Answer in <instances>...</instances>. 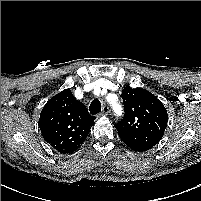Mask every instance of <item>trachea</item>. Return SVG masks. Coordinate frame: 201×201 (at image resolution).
I'll return each instance as SVG.
<instances>
[{
  "label": "trachea",
  "instance_id": "1",
  "mask_svg": "<svg viewBox=\"0 0 201 201\" xmlns=\"http://www.w3.org/2000/svg\"><path fill=\"white\" fill-rule=\"evenodd\" d=\"M89 110L92 115L101 112V102L98 99H94L90 104Z\"/></svg>",
  "mask_w": 201,
  "mask_h": 201
}]
</instances>
